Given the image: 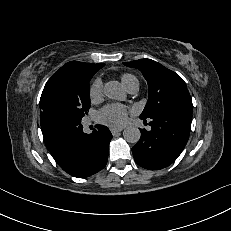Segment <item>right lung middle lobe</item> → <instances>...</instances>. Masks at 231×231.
Segmentation results:
<instances>
[{
    "label": "right lung middle lobe",
    "instance_id": "right-lung-middle-lobe-1",
    "mask_svg": "<svg viewBox=\"0 0 231 231\" xmlns=\"http://www.w3.org/2000/svg\"><path fill=\"white\" fill-rule=\"evenodd\" d=\"M94 73L56 72L40 98L44 137L81 123L90 108L89 81Z\"/></svg>",
    "mask_w": 231,
    "mask_h": 231
}]
</instances>
